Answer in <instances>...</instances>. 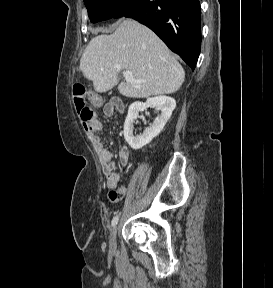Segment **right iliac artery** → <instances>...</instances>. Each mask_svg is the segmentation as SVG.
Masks as SVG:
<instances>
[{
  "instance_id": "right-iliac-artery-1",
  "label": "right iliac artery",
  "mask_w": 273,
  "mask_h": 288,
  "mask_svg": "<svg viewBox=\"0 0 273 288\" xmlns=\"http://www.w3.org/2000/svg\"><path fill=\"white\" fill-rule=\"evenodd\" d=\"M118 219H119V216H115L113 219H112V222H111V225L112 226H115L117 223H118Z\"/></svg>"
}]
</instances>
